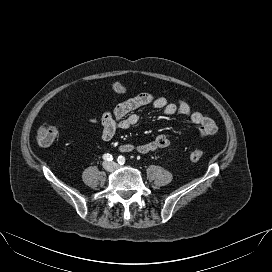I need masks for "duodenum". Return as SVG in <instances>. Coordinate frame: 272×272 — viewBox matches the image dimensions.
Instances as JSON below:
<instances>
[{
    "label": "duodenum",
    "mask_w": 272,
    "mask_h": 272,
    "mask_svg": "<svg viewBox=\"0 0 272 272\" xmlns=\"http://www.w3.org/2000/svg\"><path fill=\"white\" fill-rule=\"evenodd\" d=\"M120 150L122 152H129V151H131V147L129 145H122Z\"/></svg>",
    "instance_id": "1"
}]
</instances>
